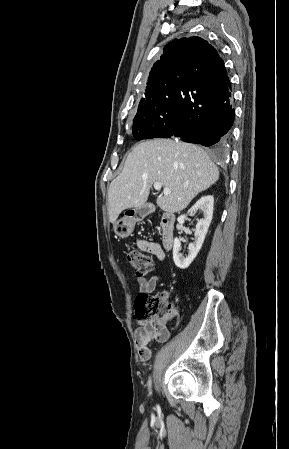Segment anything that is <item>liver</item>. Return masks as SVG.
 Masks as SVG:
<instances>
[{"instance_id":"obj_1","label":"liver","mask_w":289,"mask_h":449,"mask_svg":"<svg viewBox=\"0 0 289 449\" xmlns=\"http://www.w3.org/2000/svg\"><path fill=\"white\" fill-rule=\"evenodd\" d=\"M218 179V168L196 145L170 139L142 142L128 154L121 174L110 184L109 221L114 225L122 211L143 206L155 182L171 190L158 196L157 205L175 213Z\"/></svg>"}]
</instances>
